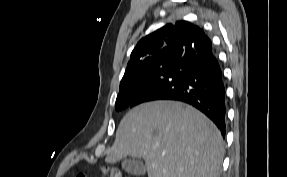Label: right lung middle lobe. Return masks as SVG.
I'll use <instances>...</instances> for the list:
<instances>
[{"label":"right lung middle lobe","instance_id":"dd1d6c3e","mask_svg":"<svg viewBox=\"0 0 287 177\" xmlns=\"http://www.w3.org/2000/svg\"><path fill=\"white\" fill-rule=\"evenodd\" d=\"M180 59L179 56L166 57L120 83L115 109L120 111L129 107L148 86L174 67Z\"/></svg>","mask_w":287,"mask_h":177}]
</instances>
